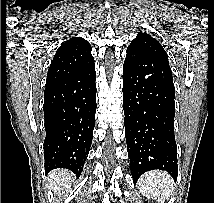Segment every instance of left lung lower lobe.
<instances>
[{
    "mask_svg": "<svg viewBox=\"0 0 214 203\" xmlns=\"http://www.w3.org/2000/svg\"><path fill=\"white\" fill-rule=\"evenodd\" d=\"M175 87L169 64L127 50L123 66V110L133 182L146 171H167L177 179L174 135Z\"/></svg>",
    "mask_w": 214,
    "mask_h": 203,
    "instance_id": "1",
    "label": "left lung lower lobe"
}]
</instances>
